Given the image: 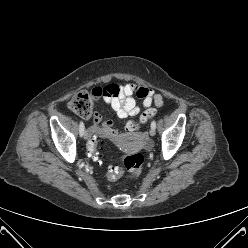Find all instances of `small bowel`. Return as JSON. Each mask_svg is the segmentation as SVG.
Returning <instances> with one entry per match:
<instances>
[{
	"mask_svg": "<svg viewBox=\"0 0 248 248\" xmlns=\"http://www.w3.org/2000/svg\"><path fill=\"white\" fill-rule=\"evenodd\" d=\"M116 86L118 87V93L113 95L108 91L109 94L103 96V100L112 107L120 118L136 116L141 112L142 108L149 107L151 104H154L157 107L163 105L162 96L145 86L133 83H125ZM134 96H138L142 99L141 106L136 102ZM90 132H95L98 135L113 139L118 138L121 134L120 130L114 128L112 121H102V117L98 113L94 115Z\"/></svg>",
	"mask_w": 248,
	"mask_h": 248,
	"instance_id": "c3829d8e",
	"label": "small bowel"
}]
</instances>
